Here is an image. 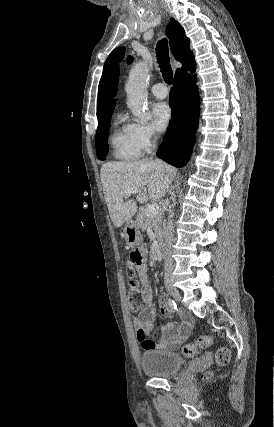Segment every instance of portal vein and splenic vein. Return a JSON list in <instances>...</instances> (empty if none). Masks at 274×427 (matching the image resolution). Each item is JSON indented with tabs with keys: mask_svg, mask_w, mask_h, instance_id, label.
<instances>
[{
	"mask_svg": "<svg viewBox=\"0 0 274 427\" xmlns=\"http://www.w3.org/2000/svg\"><path fill=\"white\" fill-rule=\"evenodd\" d=\"M131 194H138V190L132 188V190H126V192H124L125 198H130ZM157 214H159V206H157V204H151V206H148L147 215H151V217H153V215Z\"/></svg>",
	"mask_w": 274,
	"mask_h": 427,
	"instance_id": "1",
	"label": "portal vein and splenic vein"
}]
</instances>
